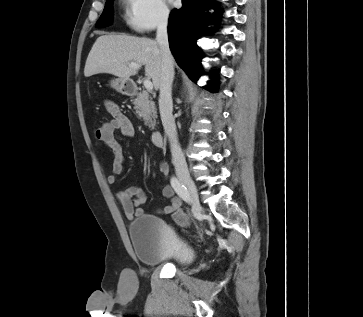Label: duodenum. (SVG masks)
<instances>
[{"mask_svg": "<svg viewBox=\"0 0 363 317\" xmlns=\"http://www.w3.org/2000/svg\"><path fill=\"white\" fill-rule=\"evenodd\" d=\"M126 91L128 94H134L137 91V87L135 85H128ZM151 140L156 147H162L164 145L163 135L159 130H154L152 132Z\"/></svg>", "mask_w": 363, "mask_h": 317, "instance_id": "obj_1", "label": "duodenum"}]
</instances>
